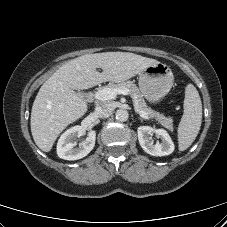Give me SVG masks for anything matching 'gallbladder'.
<instances>
[{"mask_svg":"<svg viewBox=\"0 0 227 227\" xmlns=\"http://www.w3.org/2000/svg\"><path fill=\"white\" fill-rule=\"evenodd\" d=\"M79 95H83L81 92H79Z\"/></svg>","mask_w":227,"mask_h":227,"instance_id":"bac80fb5","label":"gallbladder"}]
</instances>
